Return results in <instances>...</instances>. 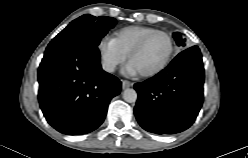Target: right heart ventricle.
I'll return each instance as SVG.
<instances>
[{
  "label": "right heart ventricle",
  "instance_id": "e07e8e85",
  "mask_svg": "<svg viewBox=\"0 0 248 158\" xmlns=\"http://www.w3.org/2000/svg\"><path fill=\"white\" fill-rule=\"evenodd\" d=\"M154 30V28L146 26H128L115 31L113 33L112 40L127 56L131 49L141 40V38Z\"/></svg>",
  "mask_w": 248,
  "mask_h": 158
}]
</instances>
